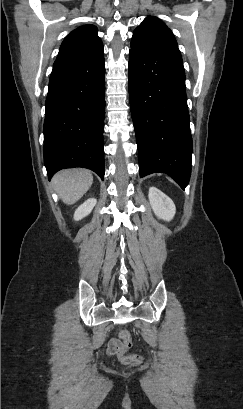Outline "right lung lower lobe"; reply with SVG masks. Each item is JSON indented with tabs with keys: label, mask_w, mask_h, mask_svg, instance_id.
<instances>
[{
	"label": "right lung lower lobe",
	"mask_w": 243,
	"mask_h": 409,
	"mask_svg": "<svg viewBox=\"0 0 243 409\" xmlns=\"http://www.w3.org/2000/svg\"><path fill=\"white\" fill-rule=\"evenodd\" d=\"M45 106L43 152L49 180L73 167L91 169L103 179V47L53 67Z\"/></svg>",
	"instance_id": "1"
}]
</instances>
